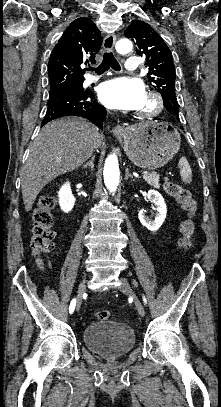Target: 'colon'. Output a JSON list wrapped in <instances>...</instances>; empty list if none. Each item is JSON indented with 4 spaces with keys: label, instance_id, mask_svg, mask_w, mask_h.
<instances>
[{
    "label": "colon",
    "instance_id": "obj_1",
    "mask_svg": "<svg viewBox=\"0 0 221 407\" xmlns=\"http://www.w3.org/2000/svg\"><path fill=\"white\" fill-rule=\"evenodd\" d=\"M163 188L184 210L185 216L180 223V236L177 245L180 251H186L195 234L196 201L189 190L175 182L167 180L164 182ZM56 203V197L43 196L34 212L32 249L37 256L48 253L54 248L55 232L52 230L53 216L51 211ZM97 316L99 320L107 321L111 313L108 310H101Z\"/></svg>",
    "mask_w": 221,
    "mask_h": 407
}]
</instances>
